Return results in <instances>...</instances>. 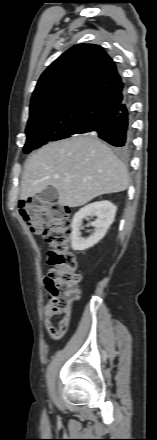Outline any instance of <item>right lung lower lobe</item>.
Listing matches in <instances>:
<instances>
[{"mask_svg":"<svg viewBox=\"0 0 157 440\" xmlns=\"http://www.w3.org/2000/svg\"><path fill=\"white\" fill-rule=\"evenodd\" d=\"M84 131L96 132L99 138L121 151H127L131 145L132 128L126 95L119 106L89 120Z\"/></svg>","mask_w":157,"mask_h":440,"instance_id":"right-lung-lower-lobe-1","label":"right lung lower lobe"}]
</instances>
